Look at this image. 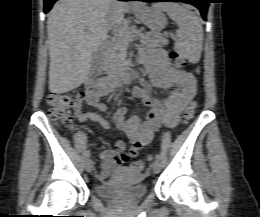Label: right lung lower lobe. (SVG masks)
I'll return each instance as SVG.
<instances>
[{"instance_id": "98d812e1", "label": "right lung lower lobe", "mask_w": 260, "mask_h": 217, "mask_svg": "<svg viewBox=\"0 0 260 217\" xmlns=\"http://www.w3.org/2000/svg\"><path fill=\"white\" fill-rule=\"evenodd\" d=\"M56 1L57 0H44V13H47L52 8V5ZM120 1H133V0H120Z\"/></svg>"}]
</instances>
